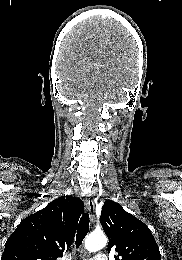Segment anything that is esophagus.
Masks as SVG:
<instances>
[{
	"instance_id": "34e87169",
	"label": "esophagus",
	"mask_w": 182,
	"mask_h": 260,
	"mask_svg": "<svg viewBox=\"0 0 182 260\" xmlns=\"http://www.w3.org/2000/svg\"><path fill=\"white\" fill-rule=\"evenodd\" d=\"M85 203H86V207L89 212V215H90V220H91V222H93L94 221V212H95V203H94V198L91 194L87 195Z\"/></svg>"
}]
</instances>
